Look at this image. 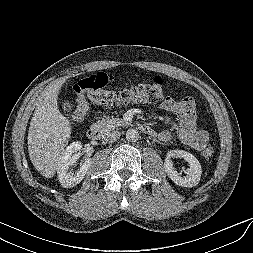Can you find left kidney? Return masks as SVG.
<instances>
[{"instance_id": "5707ae66", "label": "left kidney", "mask_w": 253, "mask_h": 253, "mask_svg": "<svg viewBox=\"0 0 253 253\" xmlns=\"http://www.w3.org/2000/svg\"><path fill=\"white\" fill-rule=\"evenodd\" d=\"M177 156L188 162L189 168L186 170V176H180L173 167L171 157ZM164 169L168 177L176 184L182 187L196 186L201 178V165L197 158L191 153L184 150H171L167 153L164 162Z\"/></svg>"}]
</instances>
